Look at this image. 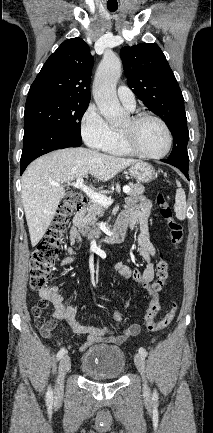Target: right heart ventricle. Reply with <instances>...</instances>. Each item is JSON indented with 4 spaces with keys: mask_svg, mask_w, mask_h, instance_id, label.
Wrapping results in <instances>:
<instances>
[{
    "mask_svg": "<svg viewBox=\"0 0 213 433\" xmlns=\"http://www.w3.org/2000/svg\"><path fill=\"white\" fill-rule=\"evenodd\" d=\"M103 150L106 153L116 156H127L131 154L124 146L121 140L120 132L116 130H113L112 137Z\"/></svg>",
    "mask_w": 213,
    "mask_h": 433,
    "instance_id": "1",
    "label": "right heart ventricle"
}]
</instances>
